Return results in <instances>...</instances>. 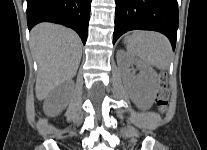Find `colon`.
<instances>
[{"instance_id":"obj_1","label":"colon","mask_w":207,"mask_h":150,"mask_svg":"<svg viewBox=\"0 0 207 150\" xmlns=\"http://www.w3.org/2000/svg\"><path fill=\"white\" fill-rule=\"evenodd\" d=\"M169 91L167 88V76L165 73L160 74L159 90L157 92L156 103L161 111H164L168 105Z\"/></svg>"}]
</instances>
